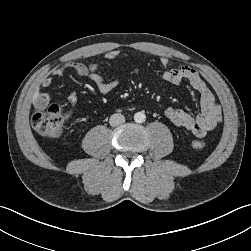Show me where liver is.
Returning a JSON list of instances; mask_svg holds the SVG:
<instances>
[{
  "mask_svg": "<svg viewBox=\"0 0 251 251\" xmlns=\"http://www.w3.org/2000/svg\"><path fill=\"white\" fill-rule=\"evenodd\" d=\"M38 95H39V92H38V90H37L36 93H35L34 96H33V102L37 99Z\"/></svg>",
  "mask_w": 251,
  "mask_h": 251,
  "instance_id": "1",
  "label": "liver"
}]
</instances>
